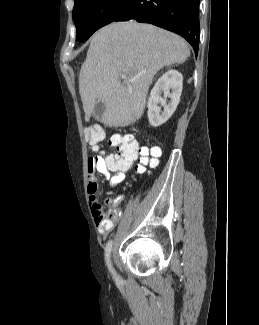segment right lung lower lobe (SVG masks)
<instances>
[{
	"label": "right lung lower lobe",
	"mask_w": 259,
	"mask_h": 325,
	"mask_svg": "<svg viewBox=\"0 0 259 325\" xmlns=\"http://www.w3.org/2000/svg\"><path fill=\"white\" fill-rule=\"evenodd\" d=\"M199 2L200 0H127L113 21L134 19L175 32L184 37L197 54Z\"/></svg>",
	"instance_id": "right-lung-lower-lobe-1"
}]
</instances>
